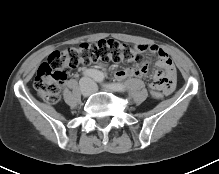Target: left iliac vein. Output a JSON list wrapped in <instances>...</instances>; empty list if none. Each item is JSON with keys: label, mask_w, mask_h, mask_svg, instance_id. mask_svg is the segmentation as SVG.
<instances>
[{"label": "left iliac vein", "mask_w": 219, "mask_h": 174, "mask_svg": "<svg viewBox=\"0 0 219 174\" xmlns=\"http://www.w3.org/2000/svg\"><path fill=\"white\" fill-rule=\"evenodd\" d=\"M105 88L108 90H113L112 88H110L109 86L105 85ZM94 91H96V89H94Z\"/></svg>", "instance_id": "4c4485c4"}]
</instances>
